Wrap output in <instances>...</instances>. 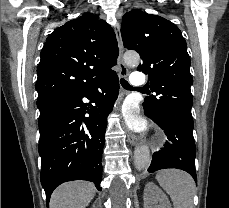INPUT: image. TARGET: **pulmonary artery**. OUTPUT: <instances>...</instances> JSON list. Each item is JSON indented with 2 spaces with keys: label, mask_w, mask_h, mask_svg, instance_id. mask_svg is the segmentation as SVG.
<instances>
[{
  "label": "pulmonary artery",
  "mask_w": 229,
  "mask_h": 208,
  "mask_svg": "<svg viewBox=\"0 0 229 208\" xmlns=\"http://www.w3.org/2000/svg\"><path fill=\"white\" fill-rule=\"evenodd\" d=\"M146 73L145 72H134V75L132 77V86L133 87H142L143 83L147 82L146 78H136V77H145Z\"/></svg>",
  "instance_id": "obj_1"
}]
</instances>
